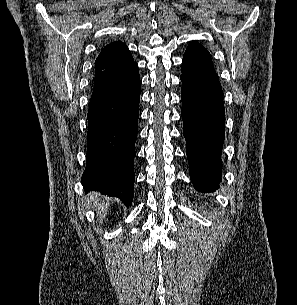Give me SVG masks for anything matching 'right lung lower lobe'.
<instances>
[{
	"label": "right lung lower lobe",
	"instance_id": "right-lung-lower-lobe-1",
	"mask_svg": "<svg viewBox=\"0 0 297 305\" xmlns=\"http://www.w3.org/2000/svg\"><path fill=\"white\" fill-rule=\"evenodd\" d=\"M140 76L137 63L94 84L88 110L86 168L81 183L131 205L138 129Z\"/></svg>",
	"mask_w": 297,
	"mask_h": 305
}]
</instances>
